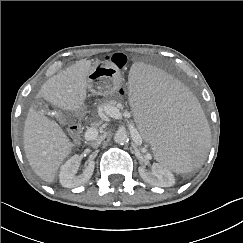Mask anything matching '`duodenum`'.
I'll use <instances>...</instances> for the list:
<instances>
[{
	"mask_svg": "<svg viewBox=\"0 0 243 243\" xmlns=\"http://www.w3.org/2000/svg\"><path fill=\"white\" fill-rule=\"evenodd\" d=\"M69 130L74 133V134H78L80 132V127L78 124H74V125H71Z\"/></svg>",
	"mask_w": 243,
	"mask_h": 243,
	"instance_id": "obj_1",
	"label": "duodenum"
}]
</instances>
